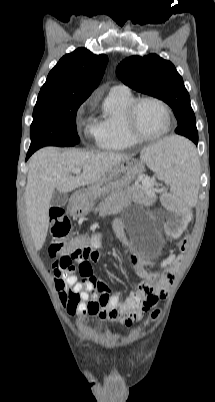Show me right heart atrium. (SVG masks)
Here are the masks:
<instances>
[{
  "mask_svg": "<svg viewBox=\"0 0 215 402\" xmlns=\"http://www.w3.org/2000/svg\"><path fill=\"white\" fill-rule=\"evenodd\" d=\"M96 131H97V127H96V124H94V123L84 124V126H83V132H84L85 136H87L89 138H96Z\"/></svg>",
  "mask_w": 215,
  "mask_h": 402,
  "instance_id": "d8ad5b80",
  "label": "right heart atrium"
}]
</instances>
